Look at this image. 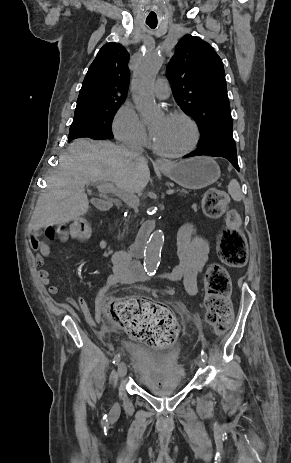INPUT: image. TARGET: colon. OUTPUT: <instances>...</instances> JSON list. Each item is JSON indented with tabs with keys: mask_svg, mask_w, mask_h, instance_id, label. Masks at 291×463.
I'll use <instances>...</instances> for the list:
<instances>
[{
	"mask_svg": "<svg viewBox=\"0 0 291 463\" xmlns=\"http://www.w3.org/2000/svg\"><path fill=\"white\" fill-rule=\"evenodd\" d=\"M229 196L218 189H211L203 199L204 211L212 217L219 216L229 205ZM241 218L236 211L226 216V226L218 241L220 259L232 267H241L246 263V240L240 231ZM88 224L77 219L69 230L63 226H48L44 235L55 240L67 235L72 239L85 240L90 236ZM206 317L218 331L228 327L233 318V309L229 299L230 281L227 272L220 266H212L205 278ZM107 318L124 329L129 335L159 348L170 346L177 335V322L173 315L158 304L143 298L118 300L104 299Z\"/></svg>",
	"mask_w": 291,
	"mask_h": 463,
	"instance_id": "5ec220e1",
	"label": "colon"
}]
</instances>
